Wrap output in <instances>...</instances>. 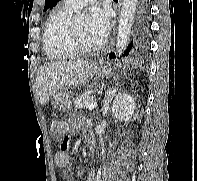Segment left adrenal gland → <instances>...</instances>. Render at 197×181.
Masks as SVG:
<instances>
[{"label": "left adrenal gland", "mask_w": 197, "mask_h": 181, "mask_svg": "<svg viewBox=\"0 0 197 181\" xmlns=\"http://www.w3.org/2000/svg\"><path fill=\"white\" fill-rule=\"evenodd\" d=\"M117 90H118V87H112L106 91L105 96H104V101H103V107L101 109V112L103 115L107 113L109 109V105L111 101L113 100V98L115 97Z\"/></svg>", "instance_id": "obj_1"}]
</instances>
